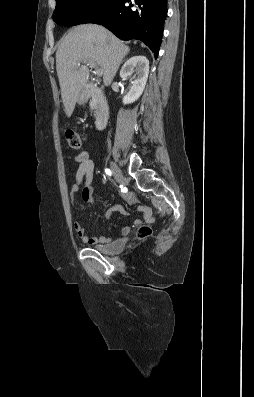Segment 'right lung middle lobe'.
Listing matches in <instances>:
<instances>
[{
    "label": "right lung middle lobe",
    "instance_id": "right-lung-middle-lobe-1",
    "mask_svg": "<svg viewBox=\"0 0 254 397\" xmlns=\"http://www.w3.org/2000/svg\"><path fill=\"white\" fill-rule=\"evenodd\" d=\"M114 0H56L53 19L65 26L90 22L105 12Z\"/></svg>",
    "mask_w": 254,
    "mask_h": 397
}]
</instances>
